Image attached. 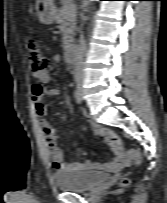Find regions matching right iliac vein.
I'll use <instances>...</instances> for the list:
<instances>
[{
  "mask_svg": "<svg viewBox=\"0 0 167 203\" xmlns=\"http://www.w3.org/2000/svg\"><path fill=\"white\" fill-rule=\"evenodd\" d=\"M81 91H82V89L80 88V89H79V92H81Z\"/></svg>",
  "mask_w": 167,
  "mask_h": 203,
  "instance_id": "obj_1",
  "label": "right iliac vein"
}]
</instances>
